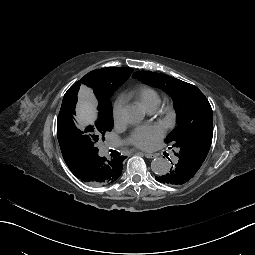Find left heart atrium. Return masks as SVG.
Segmentation results:
<instances>
[{"label":"left heart atrium","mask_w":255,"mask_h":255,"mask_svg":"<svg viewBox=\"0 0 255 255\" xmlns=\"http://www.w3.org/2000/svg\"><path fill=\"white\" fill-rule=\"evenodd\" d=\"M136 131L141 133L139 138L134 136ZM136 131L130 135L129 142L132 145L144 150L151 149L155 142L162 136V132L156 127H143L137 129Z\"/></svg>","instance_id":"1"}]
</instances>
